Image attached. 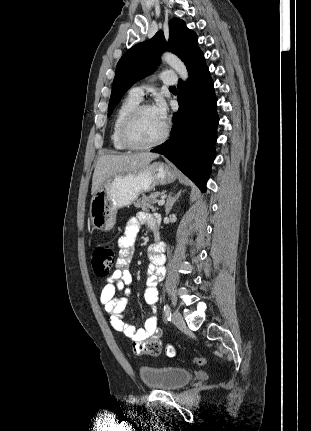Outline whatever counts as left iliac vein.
I'll use <instances>...</instances> for the list:
<instances>
[{
	"label": "left iliac vein",
	"instance_id": "left-iliac-vein-1",
	"mask_svg": "<svg viewBox=\"0 0 311 431\" xmlns=\"http://www.w3.org/2000/svg\"><path fill=\"white\" fill-rule=\"evenodd\" d=\"M172 322L178 329H185L186 325L181 314L176 310L172 315Z\"/></svg>",
	"mask_w": 311,
	"mask_h": 431
}]
</instances>
